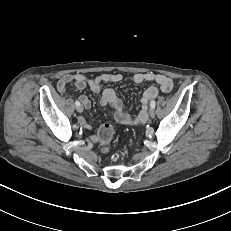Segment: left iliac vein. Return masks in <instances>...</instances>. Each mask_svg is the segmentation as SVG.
Here are the masks:
<instances>
[{"instance_id":"4c4485c4","label":"left iliac vein","mask_w":231,"mask_h":231,"mask_svg":"<svg viewBox=\"0 0 231 231\" xmlns=\"http://www.w3.org/2000/svg\"><path fill=\"white\" fill-rule=\"evenodd\" d=\"M149 116L151 117V118H154L155 117V111H154V109H150V111H149Z\"/></svg>"}]
</instances>
